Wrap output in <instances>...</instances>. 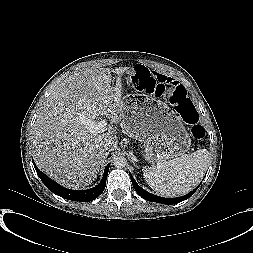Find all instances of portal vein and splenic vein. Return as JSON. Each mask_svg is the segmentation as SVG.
<instances>
[{"label":"portal vein and splenic vein","instance_id":"18ae733b","mask_svg":"<svg viewBox=\"0 0 253 253\" xmlns=\"http://www.w3.org/2000/svg\"><path fill=\"white\" fill-rule=\"evenodd\" d=\"M81 121L84 125H86L87 129L91 133H103L106 131L107 126L106 120H100L96 122L88 118H82Z\"/></svg>","mask_w":253,"mask_h":253}]
</instances>
